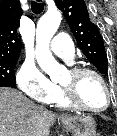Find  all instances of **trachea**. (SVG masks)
I'll return each mask as SVG.
<instances>
[{
	"label": "trachea",
	"mask_w": 117,
	"mask_h": 136,
	"mask_svg": "<svg viewBox=\"0 0 117 136\" xmlns=\"http://www.w3.org/2000/svg\"><path fill=\"white\" fill-rule=\"evenodd\" d=\"M31 10H32V12L34 14L38 15V14L43 12L44 5H43V3L32 1V3H31Z\"/></svg>",
	"instance_id": "1"
}]
</instances>
